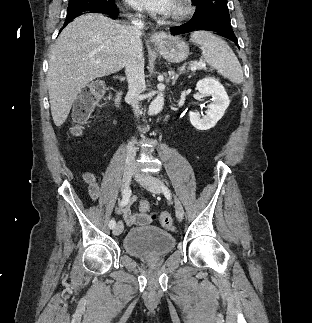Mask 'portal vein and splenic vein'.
I'll return each instance as SVG.
<instances>
[{
    "mask_svg": "<svg viewBox=\"0 0 312 323\" xmlns=\"http://www.w3.org/2000/svg\"><path fill=\"white\" fill-rule=\"evenodd\" d=\"M94 64H100V62H94ZM197 68H206V64H204V62H194L191 68L192 72H195Z\"/></svg>",
    "mask_w": 312,
    "mask_h": 323,
    "instance_id": "1",
    "label": "portal vein and splenic vein"
}]
</instances>
